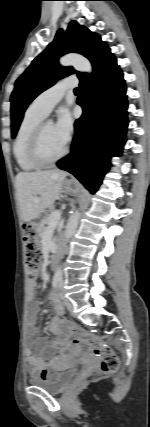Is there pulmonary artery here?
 Here are the masks:
<instances>
[{"label": "pulmonary artery", "mask_w": 150, "mask_h": 427, "mask_svg": "<svg viewBox=\"0 0 150 427\" xmlns=\"http://www.w3.org/2000/svg\"><path fill=\"white\" fill-rule=\"evenodd\" d=\"M77 85L78 81L75 77L62 80L39 94L30 107L45 117L59 103L65 92L75 88Z\"/></svg>", "instance_id": "pulmonary-artery-1"}]
</instances>
